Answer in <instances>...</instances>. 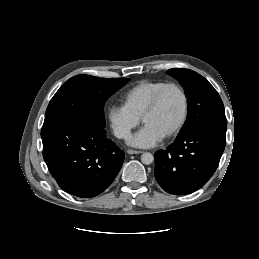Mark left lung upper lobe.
Returning <instances> with one entry per match:
<instances>
[{"mask_svg": "<svg viewBox=\"0 0 259 259\" xmlns=\"http://www.w3.org/2000/svg\"><path fill=\"white\" fill-rule=\"evenodd\" d=\"M167 73L180 82L187 97L188 114L178 136L204 123H227L218 92L203 76L184 68H173Z\"/></svg>", "mask_w": 259, "mask_h": 259, "instance_id": "obj_1", "label": "left lung upper lobe"}]
</instances>
